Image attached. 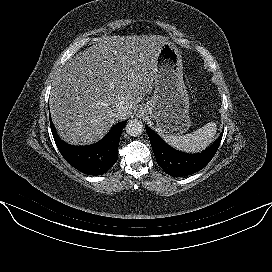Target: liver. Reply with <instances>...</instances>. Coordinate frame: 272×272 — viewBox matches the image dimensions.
Instances as JSON below:
<instances>
[{
  "instance_id": "obj_1",
  "label": "liver",
  "mask_w": 272,
  "mask_h": 272,
  "mask_svg": "<svg viewBox=\"0 0 272 272\" xmlns=\"http://www.w3.org/2000/svg\"><path fill=\"white\" fill-rule=\"evenodd\" d=\"M168 41L160 35L106 36L71 58L50 98L60 137L74 145L102 139L151 92L158 54ZM120 103L128 107L124 114L115 110Z\"/></svg>"
}]
</instances>
